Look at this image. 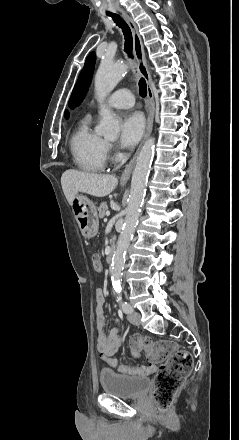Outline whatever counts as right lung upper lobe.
I'll use <instances>...</instances> for the list:
<instances>
[{"mask_svg":"<svg viewBox=\"0 0 239 440\" xmlns=\"http://www.w3.org/2000/svg\"><path fill=\"white\" fill-rule=\"evenodd\" d=\"M65 117H66V118L68 117V112H67V111L65 112Z\"/></svg>","mask_w":239,"mask_h":440,"instance_id":"right-lung-upper-lobe-1","label":"right lung upper lobe"}]
</instances>
